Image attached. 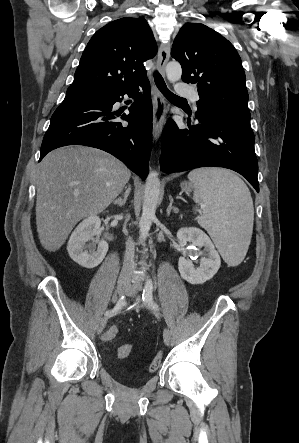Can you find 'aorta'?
<instances>
[{
    "label": "aorta",
    "mask_w": 299,
    "mask_h": 443,
    "mask_svg": "<svg viewBox=\"0 0 299 443\" xmlns=\"http://www.w3.org/2000/svg\"><path fill=\"white\" fill-rule=\"evenodd\" d=\"M166 75L170 82L181 79L182 68L178 62H169L166 66ZM160 194V180L156 171H150L145 184L142 215L139 221L140 239L144 244L155 219L156 207Z\"/></svg>",
    "instance_id": "1"
}]
</instances>
